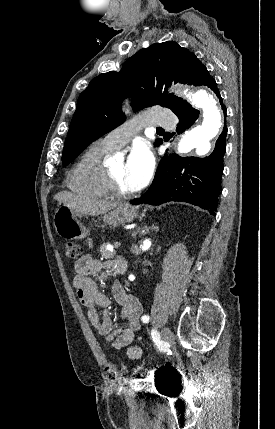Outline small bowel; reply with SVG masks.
<instances>
[{"label": "small bowel", "instance_id": "small-bowel-1", "mask_svg": "<svg viewBox=\"0 0 275 429\" xmlns=\"http://www.w3.org/2000/svg\"><path fill=\"white\" fill-rule=\"evenodd\" d=\"M115 265L103 263L91 255H84L75 263L73 284L80 302L87 308L90 323L98 333L111 342L115 349L127 348L130 359H140L143 356V350L137 346H130L139 328V319L142 314L140 301L134 295L128 294L120 283H113V298L120 306V319L126 323L125 327L114 328L108 310L111 300L98 290L92 279V276L104 268Z\"/></svg>", "mask_w": 275, "mask_h": 429}]
</instances>
